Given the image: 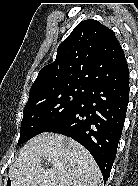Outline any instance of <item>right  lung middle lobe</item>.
Returning <instances> with one entry per match:
<instances>
[{
    "label": "right lung middle lobe",
    "instance_id": "dd1d6c3e",
    "mask_svg": "<svg viewBox=\"0 0 138 186\" xmlns=\"http://www.w3.org/2000/svg\"><path fill=\"white\" fill-rule=\"evenodd\" d=\"M87 89L81 85H69L29 94L18 145L45 132L67 116L82 102Z\"/></svg>",
    "mask_w": 138,
    "mask_h": 186
}]
</instances>
